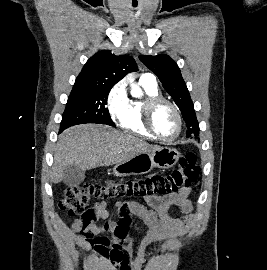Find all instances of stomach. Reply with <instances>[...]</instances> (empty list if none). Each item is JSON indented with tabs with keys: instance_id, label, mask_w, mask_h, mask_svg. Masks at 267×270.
Masks as SVG:
<instances>
[{
	"instance_id": "1",
	"label": "stomach",
	"mask_w": 267,
	"mask_h": 270,
	"mask_svg": "<svg viewBox=\"0 0 267 270\" xmlns=\"http://www.w3.org/2000/svg\"><path fill=\"white\" fill-rule=\"evenodd\" d=\"M180 157L177 149L172 147H158L154 151L144 152L135 157L116 164L113 174L119 177L130 175L145 174L153 168H170L174 166Z\"/></svg>"
}]
</instances>
